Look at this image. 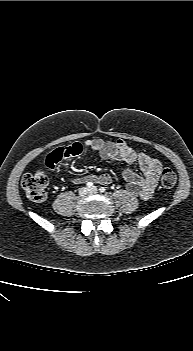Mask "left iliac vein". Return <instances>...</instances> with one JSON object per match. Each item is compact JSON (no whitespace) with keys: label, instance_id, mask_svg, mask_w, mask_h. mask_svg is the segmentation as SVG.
I'll use <instances>...</instances> for the list:
<instances>
[{"label":"left iliac vein","instance_id":"obj_1","mask_svg":"<svg viewBox=\"0 0 193 351\" xmlns=\"http://www.w3.org/2000/svg\"><path fill=\"white\" fill-rule=\"evenodd\" d=\"M98 189L96 187H92L89 189L90 193H97Z\"/></svg>","mask_w":193,"mask_h":351}]
</instances>
